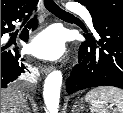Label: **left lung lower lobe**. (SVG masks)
<instances>
[{
  "instance_id": "1",
  "label": "left lung lower lobe",
  "mask_w": 123,
  "mask_h": 113,
  "mask_svg": "<svg viewBox=\"0 0 123 113\" xmlns=\"http://www.w3.org/2000/svg\"><path fill=\"white\" fill-rule=\"evenodd\" d=\"M86 7L96 36L85 35L86 41L78 49V63L66 81V91L73 93L103 85L123 89V18Z\"/></svg>"
}]
</instances>
